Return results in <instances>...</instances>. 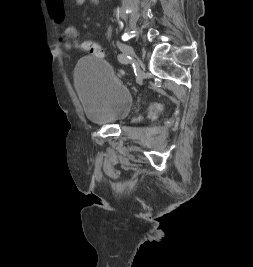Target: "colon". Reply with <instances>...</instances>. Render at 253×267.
Here are the masks:
<instances>
[{
  "instance_id": "1",
  "label": "colon",
  "mask_w": 253,
  "mask_h": 267,
  "mask_svg": "<svg viewBox=\"0 0 253 267\" xmlns=\"http://www.w3.org/2000/svg\"><path fill=\"white\" fill-rule=\"evenodd\" d=\"M61 40L68 41L72 48L77 49L79 51L88 52L93 56H97L102 58L104 56V51L102 47L91 40H84L77 33H68L63 32L61 35Z\"/></svg>"
}]
</instances>
